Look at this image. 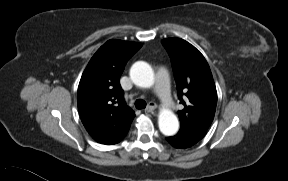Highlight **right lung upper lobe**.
Instances as JSON below:
<instances>
[{"mask_svg":"<svg viewBox=\"0 0 288 181\" xmlns=\"http://www.w3.org/2000/svg\"><path fill=\"white\" fill-rule=\"evenodd\" d=\"M142 44L109 40L91 58L78 87V110L91 137L105 145L120 142L135 117L119 84L127 61Z\"/></svg>","mask_w":288,"mask_h":181,"instance_id":"right-lung-upper-lobe-1","label":"right lung upper lobe"}]
</instances>
